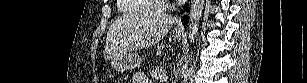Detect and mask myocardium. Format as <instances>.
I'll use <instances>...</instances> for the list:
<instances>
[{"instance_id":"myocardium-1","label":"myocardium","mask_w":307,"mask_h":83,"mask_svg":"<svg viewBox=\"0 0 307 83\" xmlns=\"http://www.w3.org/2000/svg\"><path fill=\"white\" fill-rule=\"evenodd\" d=\"M154 5L156 8H158L159 12L161 13H167L168 11L174 8L173 2L170 1L155 0Z\"/></svg>"}]
</instances>
